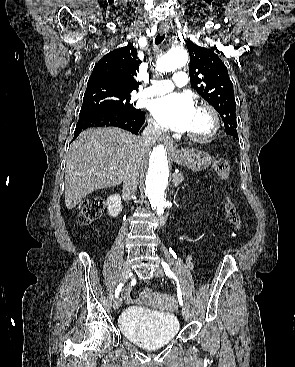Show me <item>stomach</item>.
<instances>
[{"mask_svg": "<svg viewBox=\"0 0 295 367\" xmlns=\"http://www.w3.org/2000/svg\"><path fill=\"white\" fill-rule=\"evenodd\" d=\"M171 158L177 164L187 167L194 172H199L210 166L211 156L194 148H182L175 150L171 154Z\"/></svg>", "mask_w": 295, "mask_h": 367, "instance_id": "1", "label": "stomach"}]
</instances>
